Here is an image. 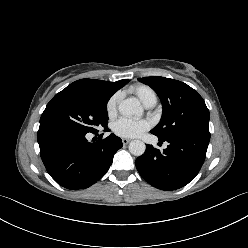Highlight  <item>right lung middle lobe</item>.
Here are the masks:
<instances>
[{
  "label": "right lung middle lobe",
  "instance_id": "1",
  "mask_svg": "<svg viewBox=\"0 0 248 248\" xmlns=\"http://www.w3.org/2000/svg\"><path fill=\"white\" fill-rule=\"evenodd\" d=\"M108 99L65 88L47 104L40 118V127H60L79 133H97L107 127Z\"/></svg>",
  "mask_w": 248,
  "mask_h": 248
}]
</instances>
